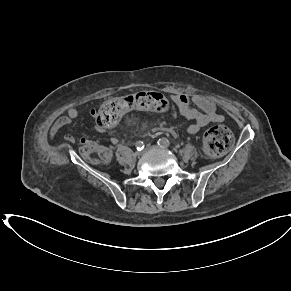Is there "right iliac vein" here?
<instances>
[{"label":"right iliac vein","instance_id":"1","mask_svg":"<svg viewBox=\"0 0 291 291\" xmlns=\"http://www.w3.org/2000/svg\"><path fill=\"white\" fill-rule=\"evenodd\" d=\"M134 155H135L136 157H139V156L142 155V152L136 151V152L134 153Z\"/></svg>","mask_w":291,"mask_h":291}]
</instances>
